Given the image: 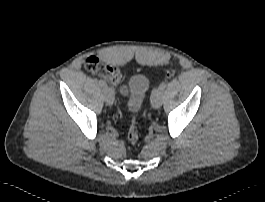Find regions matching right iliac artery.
<instances>
[{
  "label": "right iliac artery",
  "mask_w": 265,
  "mask_h": 202,
  "mask_svg": "<svg viewBox=\"0 0 265 202\" xmlns=\"http://www.w3.org/2000/svg\"><path fill=\"white\" fill-rule=\"evenodd\" d=\"M98 84L100 85V87L104 90L107 87V84L105 81L103 80H99Z\"/></svg>",
  "instance_id": "obj_1"
}]
</instances>
